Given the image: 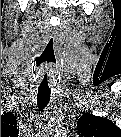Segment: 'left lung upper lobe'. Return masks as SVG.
<instances>
[{
    "mask_svg": "<svg viewBox=\"0 0 121 137\" xmlns=\"http://www.w3.org/2000/svg\"><path fill=\"white\" fill-rule=\"evenodd\" d=\"M77 128L82 136L114 137L121 135L120 129L112 121L89 113L80 117Z\"/></svg>",
    "mask_w": 121,
    "mask_h": 137,
    "instance_id": "1",
    "label": "left lung upper lobe"
}]
</instances>
